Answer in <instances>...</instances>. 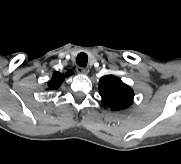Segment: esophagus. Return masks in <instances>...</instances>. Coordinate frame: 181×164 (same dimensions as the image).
<instances>
[{
	"mask_svg": "<svg viewBox=\"0 0 181 164\" xmlns=\"http://www.w3.org/2000/svg\"><path fill=\"white\" fill-rule=\"evenodd\" d=\"M77 72L80 74H88V69H86L84 67H78Z\"/></svg>",
	"mask_w": 181,
	"mask_h": 164,
	"instance_id": "1",
	"label": "esophagus"
}]
</instances>
